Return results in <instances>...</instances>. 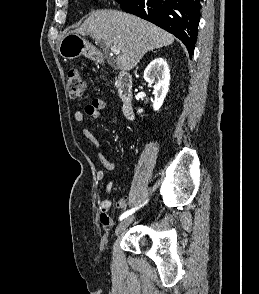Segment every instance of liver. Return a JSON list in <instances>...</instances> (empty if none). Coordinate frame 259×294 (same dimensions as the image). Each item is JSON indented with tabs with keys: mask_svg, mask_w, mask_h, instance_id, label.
<instances>
[{
	"mask_svg": "<svg viewBox=\"0 0 259 294\" xmlns=\"http://www.w3.org/2000/svg\"><path fill=\"white\" fill-rule=\"evenodd\" d=\"M81 35L89 34L105 49L117 47L116 59L120 70L130 71L148 52L173 43L174 37L167 31L134 15L116 10H98L90 14L75 30Z\"/></svg>",
	"mask_w": 259,
	"mask_h": 294,
	"instance_id": "liver-1",
	"label": "liver"
}]
</instances>
